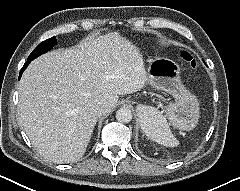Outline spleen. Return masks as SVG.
I'll list each match as a JSON object with an SVG mask.
<instances>
[{"label": "spleen", "mask_w": 240, "mask_h": 191, "mask_svg": "<svg viewBox=\"0 0 240 191\" xmlns=\"http://www.w3.org/2000/svg\"><path fill=\"white\" fill-rule=\"evenodd\" d=\"M140 125L142 131L151 140L167 147L179 145L178 140L170 130L166 117L157 109L151 107L142 113L140 115Z\"/></svg>", "instance_id": "spleen-1"}]
</instances>
